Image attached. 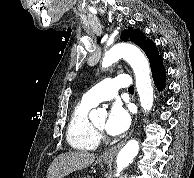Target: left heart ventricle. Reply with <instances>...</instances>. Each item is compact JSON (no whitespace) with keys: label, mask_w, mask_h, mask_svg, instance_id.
I'll return each mask as SVG.
<instances>
[{"label":"left heart ventricle","mask_w":194,"mask_h":178,"mask_svg":"<svg viewBox=\"0 0 194 178\" xmlns=\"http://www.w3.org/2000/svg\"><path fill=\"white\" fill-rule=\"evenodd\" d=\"M104 124H105V119L103 118V119H100L99 121H97L95 123V126L102 129L104 127Z\"/></svg>","instance_id":"1"}]
</instances>
